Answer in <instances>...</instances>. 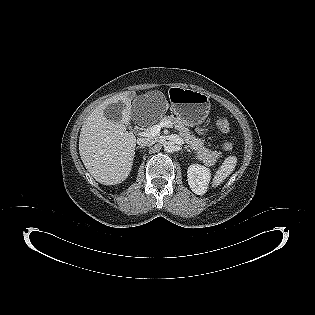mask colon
Masks as SVG:
<instances>
[{"instance_id": "5ec220e1", "label": "colon", "mask_w": 315, "mask_h": 315, "mask_svg": "<svg viewBox=\"0 0 315 315\" xmlns=\"http://www.w3.org/2000/svg\"><path fill=\"white\" fill-rule=\"evenodd\" d=\"M216 126H217V129L222 133H227L230 129L229 122L226 119H219L217 121ZM224 149L228 151L232 150L233 144L231 142H226L224 144Z\"/></svg>"}]
</instances>
